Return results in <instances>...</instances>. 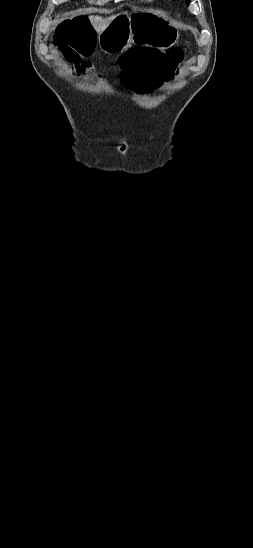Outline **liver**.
Here are the masks:
<instances>
[{"label":"liver","instance_id":"6515ba94","mask_svg":"<svg viewBox=\"0 0 253 548\" xmlns=\"http://www.w3.org/2000/svg\"><path fill=\"white\" fill-rule=\"evenodd\" d=\"M115 17L116 16L113 15L111 17L104 19L100 16H89V21L91 23V26L95 29V31L97 33H100L109 26V24Z\"/></svg>","mask_w":253,"mask_h":548}]
</instances>
